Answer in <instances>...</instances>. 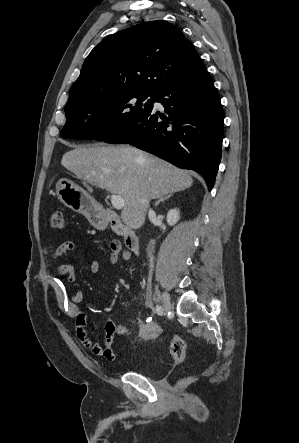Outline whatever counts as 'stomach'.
<instances>
[{"mask_svg": "<svg viewBox=\"0 0 299 443\" xmlns=\"http://www.w3.org/2000/svg\"><path fill=\"white\" fill-rule=\"evenodd\" d=\"M56 194L65 206L86 216L96 228L107 226V220L98 211L95 200L80 186L61 178L56 183Z\"/></svg>", "mask_w": 299, "mask_h": 443, "instance_id": "0dacf381", "label": "stomach"}]
</instances>
